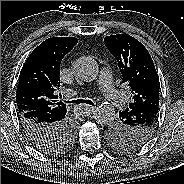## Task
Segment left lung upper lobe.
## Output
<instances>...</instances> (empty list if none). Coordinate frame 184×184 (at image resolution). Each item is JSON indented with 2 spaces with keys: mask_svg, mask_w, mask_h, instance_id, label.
Masks as SVG:
<instances>
[{
  "mask_svg": "<svg viewBox=\"0 0 184 184\" xmlns=\"http://www.w3.org/2000/svg\"><path fill=\"white\" fill-rule=\"evenodd\" d=\"M105 46L117 59L123 83L131 89L129 107L119 112V118L108 130V139L120 151L141 147L151 136L158 117L160 83L152 58L137 39L128 34L104 38ZM145 108V110L143 109Z\"/></svg>",
  "mask_w": 184,
  "mask_h": 184,
  "instance_id": "5c2ea615",
  "label": "left lung upper lobe"
}]
</instances>
